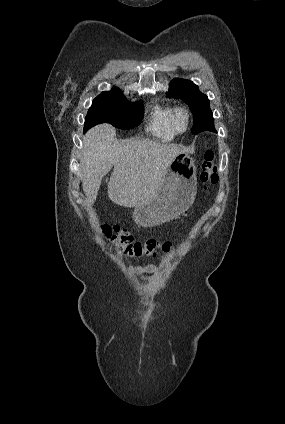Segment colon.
<instances>
[{
  "label": "colon",
  "mask_w": 285,
  "mask_h": 424,
  "mask_svg": "<svg viewBox=\"0 0 285 424\" xmlns=\"http://www.w3.org/2000/svg\"><path fill=\"white\" fill-rule=\"evenodd\" d=\"M200 179L205 189L218 181L217 164L214 160V153L211 150H207L204 154ZM100 228L103 234L120 249L122 254L130 258L141 256L161 257L163 254L168 253L172 247L170 242H162L156 239L135 241L125 229L117 225L102 224Z\"/></svg>",
  "instance_id": "obj_1"
}]
</instances>
